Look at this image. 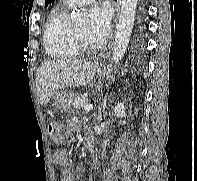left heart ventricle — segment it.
Masks as SVG:
<instances>
[{
  "label": "left heart ventricle",
  "instance_id": "1",
  "mask_svg": "<svg viewBox=\"0 0 197 181\" xmlns=\"http://www.w3.org/2000/svg\"><path fill=\"white\" fill-rule=\"evenodd\" d=\"M75 30L77 31V33L79 34V36L82 38V40L90 45V46H93V45H96L97 42H95L94 40H92L88 34H87V25L86 23H83V24H80V25H77L74 27Z\"/></svg>",
  "mask_w": 197,
  "mask_h": 181
}]
</instances>
